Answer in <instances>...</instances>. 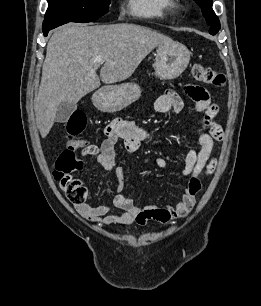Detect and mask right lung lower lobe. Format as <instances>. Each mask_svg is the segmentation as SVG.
I'll list each match as a JSON object with an SVG mask.
<instances>
[{
  "label": "right lung lower lobe",
  "mask_w": 261,
  "mask_h": 306,
  "mask_svg": "<svg viewBox=\"0 0 261 306\" xmlns=\"http://www.w3.org/2000/svg\"><path fill=\"white\" fill-rule=\"evenodd\" d=\"M65 23H68L67 21H44L42 25L43 33L45 36L48 35V32L51 29H54L60 25H63Z\"/></svg>",
  "instance_id": "98d812e1"
}]
</instances>
